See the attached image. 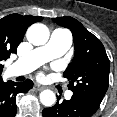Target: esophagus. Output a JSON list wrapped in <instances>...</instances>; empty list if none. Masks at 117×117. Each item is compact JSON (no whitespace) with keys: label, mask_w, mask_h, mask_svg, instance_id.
I'll return each instance as SVG.
<instances>
[{"label":"esophagus","mask_w":117,"mask_h":117,"mask_svg":"<svg viewBox=\"0 0 117 117\" xmlns=\"http://www.w3.org/2000/svg\"><path fill=\"white\" fill-rule=\"evenodd\" d=\"M43 89H44L43 86H40V85H35V86H34V90H35V91H41V90H43Z\"/></svg>","instance_id":"obj_1"}]
</instances>
